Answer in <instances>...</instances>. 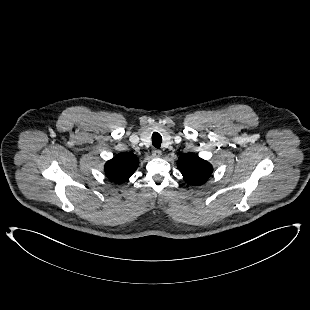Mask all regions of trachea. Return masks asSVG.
Segmentation results:
<instances>
[{"mask_svg":"<svg viewBox=\"0 0 310 310\" xmlns=\"http://www.w3.org/2000/svg\"><path fill=\"white\" fill-rule=\"evenodd\" d=\"M162 143V137L159 133L155 132L152 135V145L156 148H160Z\"/></svg>","mask_w":310,"mask_h":310,"instance_id":"1","label":"trachea"}]
</instances>
